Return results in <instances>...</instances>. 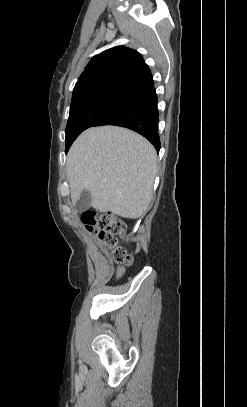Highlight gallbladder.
I'll list each match as a JSON object with an SVG mask.
<instances>
[{
  "label": "gallbladder",
  "instance_id": "obj_1",
  "mask_svg": "<svg viewBox=\"0 0 247 407\" xmlns=\"http://www.w3.org/2000/svg\"><path fill=\"white\" fill-rule=\"evenodd\" d=\"M91 201L92 197L90 192L87 190H83L75 207L78 211H85L91 206Z\"/></svg>",
  "mask_w": 247,
  "mask_h": 407
}]
</instances>
